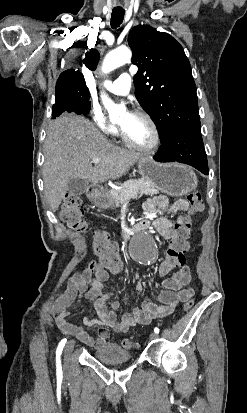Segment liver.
<instances>
[{
  "instance_id": "liver-1",
  "label": "liver",
  "mask_w": 247,
  "mask_h": 413,
  "mask_svg": "<svg viewBox=\"0 0 247 413\" xmlns=\"http://www.w3.org/2000/svg\"><path fill=\"white\" fill-rule=\"evenodd\" d=\"M43 180L46 200L53 213L58 211L70 178L105 182L128 172L139 152L115 146L84 116L65 112L51 122L44 142ZM92 158H101L92 166Z\"/></svg>"
}]
</instances>
